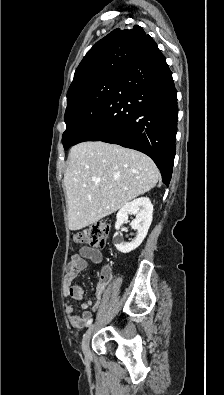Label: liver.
<instances>
[{
    "mask_svg": "<svg viewBox=\"0 0 224 395\" xmlns=\"http://www.w3.org/2000/svg\"><path fill=\"white\" fill-rule=\"evenodd\" d=\"M159 178L152 159L133 149L101 141L75 145L63 180L69 229L80 230L116 212Z\"/></svg>",
    "mask_w": 224,
    "mask_h": 395,
    "instance_id": "1",
    "label": "liver"
}]
</instances>
